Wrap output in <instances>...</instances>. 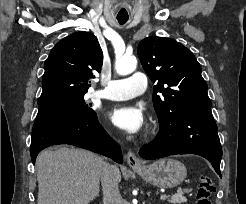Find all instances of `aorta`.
I'll return each instance as SVG.
<instances>
[{
    "instance_id": "762f6f07",
    "label": "aorta",
    "mask_w": 246,
    "mask_h": 204,
    "mask_svg": "<svg viewBox=\"0 0 246 204\" xmlns=\"http://www.w3.org/2000/svg\"><path fill=\"white\" fill-rule=\"evenodd\" d=\"M137 66V59L134 56H122L117 58L115 63L116 72L119 75L132 73Z\"/></svg>"
}]
</instances>
